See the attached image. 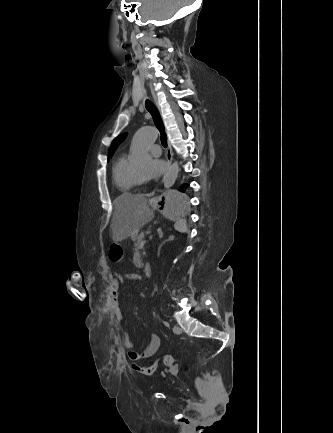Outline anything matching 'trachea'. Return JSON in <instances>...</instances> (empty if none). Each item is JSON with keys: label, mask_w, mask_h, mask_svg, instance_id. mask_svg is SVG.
<instances>
[{"label": "trachea", "mask_w": 333, "mask_h": 433, "mask_svg": "<svg viewBox=\"0 0 333 433\" xmlns=\"http://www.w3.org/2000/svg\"><path fill=\"white\" fill-rule=\"evenodd\" d=\"M145 107L149 111V113L152 115L153 121L155 123V126L160 131L161 134V143L163 147H167V136L165 134L164 125L160 116V113L157 109V107L150 101L146 100Z\"/></svg>", "instance_id": "1"}]
</instances>
